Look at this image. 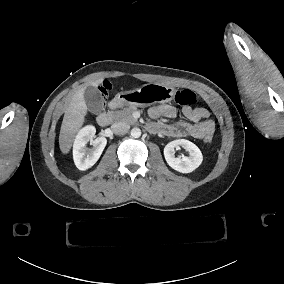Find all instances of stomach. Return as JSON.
I'll return each mask as SVG.
<instances>
[{
    "label": "stomach",
    "instance_id": "stomach-1",
    "mask_svg": "<svg viewBox=\"0 0 284 284\" xmlns=\"http://www.w3.org/2000/svg\"><path fill=\"white\" fill-rule=\"evenodd\" d=\"M175 88L162 83H148L140 88L120 92L113 99L115 106H150L169 103L174 99Z\"/></svg>",
    "mask_w": 284,
    "mask_h": 284
}]
</instances>
